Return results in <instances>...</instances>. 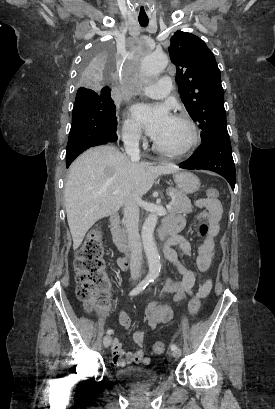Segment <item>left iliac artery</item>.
I'll return each instance as SVG.
<instances>
[{"mask_svg": "<svg viewBox=\"0 0 275 409\" xmlns=\"http://www.w3.org/2000/svg\"><path fill=\"white\" fill-rule=\"evenodd\" d=\"M154 281V280H152ZM171 350H176L177 349V345L176 344H171L170 345Z\"/></svg>", "mask_w": 275, "mask_h": 409, "instance_id": "obj_1", "label": "left iliac artery"}]
</instances>
